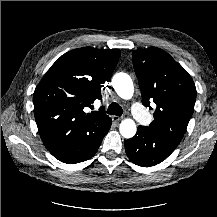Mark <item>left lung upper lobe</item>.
<instances>
[{
  "mask_svg": "<svg viewBox=\"0 0 217 217\" xmlns=\"http://www.w3.org/2000/svg\"><path fill=\"white\" fill-rule=\"evenodd\" d=\"M133 66L142 103L156 104L149 129L180 142L194 111L196 87L191 76L167 52L157 47L134 50Z\"/></svg>",
  "mask_w": 217,
  "mask_h": 217,
  "instance_id": "1",
  "label": "left lung upper lobe"
}]
</instances>
